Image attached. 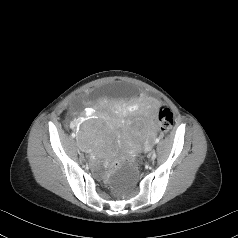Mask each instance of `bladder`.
Masks as SVG:
<instances>
[{
  "label": "bladder",
  "instance_id": "1",
  "mask_svg": "<svg viewBox=\"0 0 238 238\" xmlns=\"http://www.w3.org/2000/svg\"><path fill=\"white\" fill-rule=\"evenodd\" d=\"M141 94L139 87L134 85L118 84L110 86L97 87L90 91L87 95L89 101L94 102L99 98L106 97L108 99L120 98H137Z\"/></svg>",
  "mask_w": 238,
  "mask_h": 238
}]
</instances>
